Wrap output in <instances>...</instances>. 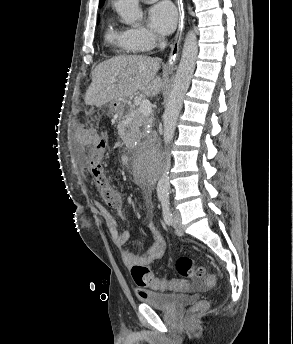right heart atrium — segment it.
<instances>
[{"label": "right heart atrium", "mask_w": 293, "mask_h": 344, "mask_svg": "<svg viewBox=\"0 0 293 344\" xmlns=\"http://www.w3.org/2000/svg\"><path fill=\"white\" fill-rule=\"evenodd\" d=\"M123 33L127 43L137 52L152 49L158 40L154 33L142 25L126 27Z\"/></svg>", "instance_id": "d8ad5b80"}]
</instances>
